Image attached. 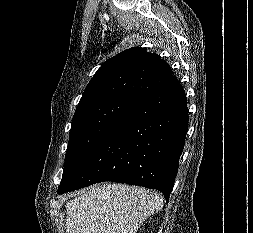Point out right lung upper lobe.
<instances>
[{"label": "right lung upper lobe", "mask_w": 253, "mask_h": 233, "mask_svg": "<svg viewBox=\"0 0 253 233\" xmlns=\"http://www.w3.org/2000/svg\"><path fill=\"white\" fill-rule=\"evenodd\" d=\"M171 76L172 70L157 54L145 48L127 49L101 65L77 108L114 97L137 100Z\"/></svg>", "instance_id": "right-lung-upper-lobe-1"}]
</instances>
